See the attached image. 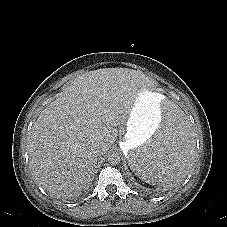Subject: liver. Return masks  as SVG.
Listing matches in <instances>:
<instances>
[{
    "label": "liver",
    "instance_id": "1",
    "mask_svg": "<svg viewBox=\"0 0 227 227\" xmlns=\"http://www.w3.org/2000/svg\"><path fill=\"white\" fill-rule=\"evenodd\" d=\"M143 87L142 72L104 68L79 76L59 93L28 134L29 165L44 190L75 197L89 186L97 145L105 144V153L114 144Z\"/></svg>",
    "mask_w": 227,
    "mask_h": 227
}]
</instances>
